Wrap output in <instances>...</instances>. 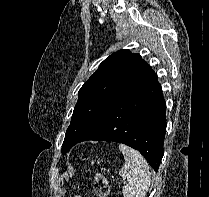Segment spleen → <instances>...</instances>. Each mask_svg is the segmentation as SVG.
<instances>
[{
    "label": "spleen",
    "mask_w": 209,
    "mask_h": 197,
    "mask_svg": "<svg viewBox=\"0 0 209 197\" xmlns=\"http://www.w3.org/2000/svg\"><path fill=\"white\" fill-rule=\"evenodd\" d=\"M119 150L125 160L119 174L127 179L126 186L122 190L123 196L145 197L151 183L147 161L137 150L124 144L119 145Z\"/></svg>",
    "instance_id": "3e777b00"
}]
</instances>
